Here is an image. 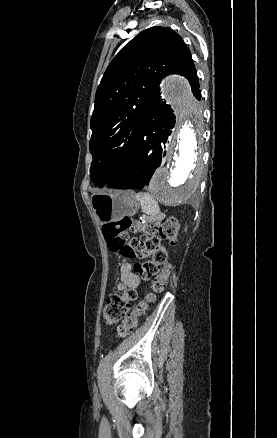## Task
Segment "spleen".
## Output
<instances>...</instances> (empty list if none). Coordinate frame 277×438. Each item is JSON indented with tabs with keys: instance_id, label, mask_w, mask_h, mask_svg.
<instances>
[{
	"instance_id": "1",
	"label": "spleen",
	"mask_w": 277,
	"mask_h": 438,
	"mask_svg": "<svg viewBox=\"0 0 277 438\" xmlns=\"http://www.w3.org/2000/svg\"><path fill=\"white\" fill-rule=\"evenodd\" d=\"M136 198L139 200L144 214H148V216H156V214H160V208L156 200H154L150 194H147V192H140V194H136Z\"/></svg>"
}]
</instances>
